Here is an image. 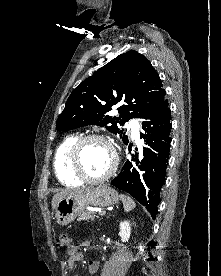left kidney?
<instances>
[{
	"label": "left kidney",
	"mask_w": 221,
	"mask_h": 276,
	"mask_svg": "<svg viewBox=\"0 0 221 276\" xmlns=\"http://www.w3.org/2000/svg\"><path fill=\"white\" fill-rule=\"evenodd\" d=\"M131 226L129 221H123L119 225V236L122 242H127L130 238Z\"/></svg>",
	"instance_id": "obj_1"
}]
</instances>
